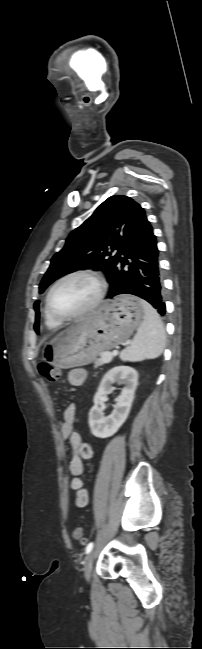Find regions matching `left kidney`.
Segmentation results:
<instances>
[{
	"label": "left kidney",
	"mask_w": 202,
	"mask_h": 649,
	"mask_svg": "<svg viewBox=\"0 0 202 649\" xmlns=\"http://www.w3.org/2000/svg\"><path fill=\"white\" fill-rule=\"evenodd\" d=\"M115 382L122 383L125 386L116 399L114 410L109 416L105 417L101 401L105 399L107 394L114 391L115 388L112 384ZM137 385L138 373L132 367L117 366L105 374L94 396V406L89 412V426L92 435L106 438L118 431L130 413Z\"/></svg>",
	"instance_id": "1"
}]
</instances>
